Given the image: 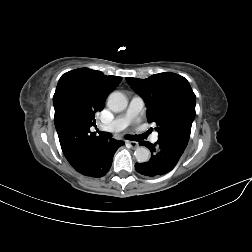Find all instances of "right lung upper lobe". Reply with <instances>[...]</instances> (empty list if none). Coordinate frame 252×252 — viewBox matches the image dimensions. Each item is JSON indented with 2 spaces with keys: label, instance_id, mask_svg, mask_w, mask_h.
Returning a JSON list of instances; mask_svg holds the SVG:
<instances>
[{
  "label": "right lung upper lobe",
  "instance_id": "obj_1",
  "mask_svg": "<svg viewBox=\"0 0 252 252\" xmlns=\"http://www.w3.org/2000/svg\"><path fill=\"white\" fill-rule=\"evenodd\" d=\"M121 77L80 68L61 76L53 96L54 122L62 151L71 160L84 146L103 139L90 132L96 126L95 114L104 107L107 96Z\"/></svg>",
  "mask_w": 252,
  "mask_h": 252
}]
</instances>
